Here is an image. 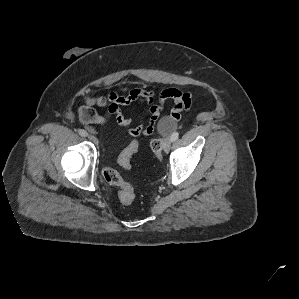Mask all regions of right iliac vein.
<instances>
[{"mask_svg":"<svg viewBox=\"0 0 299 299\" xmlns=\"http://www.w3.org/2000/svg\"><path fill=\"white\" fill-rule=\"evenodd\" d=\"M88 138H89L90 141H92L94 143L97 142V139H96V137L94 135H88Z\"/></svg>","mask_w":299,"mask_h":299,"instance_id":"63e3f726","label":"right iliac vein"}]
</instances>
